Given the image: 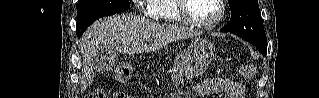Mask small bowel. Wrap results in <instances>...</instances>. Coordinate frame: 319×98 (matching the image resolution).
Listing matches in <instances>:
<instances>
[{"instance_id":"1","label":"small bowel","mask_w":319,"mask_h":98,"mask_svg":"<svg viewBox=\"0 0 319 98\" xmlns=\"http://www.w3.org/2000/svg\"><path fill=\"white\" fill-rule=\"evenodd\" d=\"M173 82L175 85H180L181 83V73L177 69L173 71ZM205 91L208 94L224 92L228 98H244V86L241 83L222 78L207 79Z\"/></svg>"}]
</instances>
